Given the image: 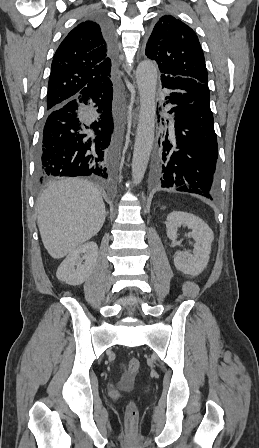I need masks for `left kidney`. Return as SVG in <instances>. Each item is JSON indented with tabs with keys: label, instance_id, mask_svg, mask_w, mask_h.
<instances>
[{
	"label": "left kidney",
	"instance_id": "obj_1",
	"mask_svg": "<svg viewBox=\"0 0 259 448\" xmlns=\"http://www.w3.org/2000/svg\"><path fill=\"white\" fill-rule=\"evenodd\" d=\"M187 226L192 230V238L195 240L193 254L188 252H176L174 258L175 268L189 276H199L205 270L209 262L211 244L214 240L213 232L209 226L193 214L186 212H171L167 216L166 228L169 240L175 242L178 238V228Z\"/></svg>",
	"mask_w": 259,
	"mask_h": 448
}]
</instances>
